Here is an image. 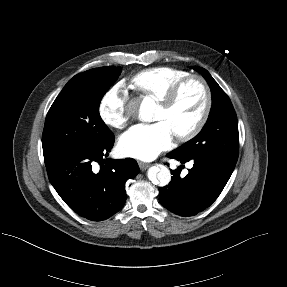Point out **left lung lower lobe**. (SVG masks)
<instances>
[{
  "instance_id": "0a47b994",
  "label": "left lung lower lobe",
  "mask_w": 287,
  "mask_h": 287,
  "mask_svg": "<svg viewBox=\"0 0 287 287\" xmlns=\"http://www.w3.org/2000/svg\"><path fill=\"white\" fill-rule=\"evenodd\" d=\"M167 157L182 164L194 163L184 178L180 176L182 166L171 170V182L159 189L161 204L174 214L185 217L196 215L210 206L235 168V163L206 153L180 154L173 150Z\"/></svg>"
}]
</instances>
